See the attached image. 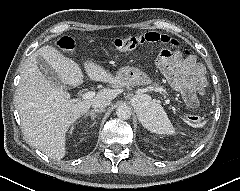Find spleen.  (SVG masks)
<instances>
[{
	"label": "spleen",
	"mask_w": 240,
	"mask_h": 191,
	"mask_svg": "<svg viewBox=\"0 0 240 191\" xmlns=\"http://www.w3.org/2000/svg\"><path fill=\"white\" fill-rule=\"evenodd\" d=\"M145 99H147L150 104L146 107L145 113L140 116V121L143 126L156 134H174V127L163 108L159 105L153 104L147 96H145Z\"/></svg>",
	"instance_id": "3e777b00"
}]
</instances>
